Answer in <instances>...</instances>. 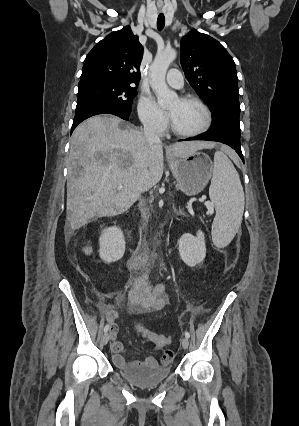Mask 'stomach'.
<instances>
[{
	"instance_id": "0dacf381",
	"label": "stomach",
	"mask_w": 299,
	"mask_h": 426,
	"mask_svg": "<svg viewBox=\"0 0 299 426\" xmlns=\"http://www.w3.org/2000/svg\"><path fill=\"white\" fill-rule=\"evenodd\" d=\"M168 160L179 188L188 196L200 193L213 174L210 157L200 151L186 157L169 155Z\"/></svg>"
}]
</instances>
